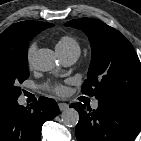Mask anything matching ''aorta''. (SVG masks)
I'll return each mask as SVG.
<instances>
[{
  "label": "aorta",
  "mask_w": 141,
  "mask_h": 141,
  "mask_svg": "<svg viewBox=\"0 0 141 141\" xmlns=\"http://www.w3.org/2000/svg\"><path fill=\"white\" fill-rule=\"evenodd\" d=\"M55 56L50 49H40L32 57L33 66L42 72L55 67ZM61 121L67 127H75L79 121V114L74 108H67L61 114Z\"/></svg>",
  "instance_id": "1"
}]
</instances>
